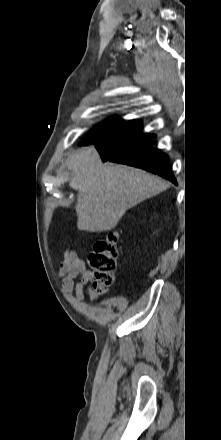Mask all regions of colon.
Masks as SVG:
<instances>
[{
  "instance_id": "obj_1",
  "label": "colon",
  "mask_w": 221,
  "mask_h": 440,
  "mask_svg": "<svg viewBox=\"0 0 221 440\" xmlns=\"http://www.w3.org/2000/svg\"><path fill=\"white\" fill-rule=\"evenodd\" d=\"M118 234L111 232L106 239L97 241L88 256V263L93 270L94 278L104 287L112 285L113 272L116 269L119 252Z\"/></svg>"
}]
</instances>
